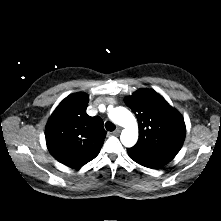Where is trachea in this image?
<instances>
[{"instance_id": "obj_1", "label": "trachea", "mask_w": 221, "mask_h": 221, "mask_svg": "<svg viewBox=\"0 0 221 221\" xmlns=\"http://www.w3.org/2000/svg\"><path fill=\"white\" fill-rule=\"evenodd\" d=\"M105 128L108 130V131H114L115 130V125L110 122V121H107L105 123Z\"/></svg>"}]
</instances>
